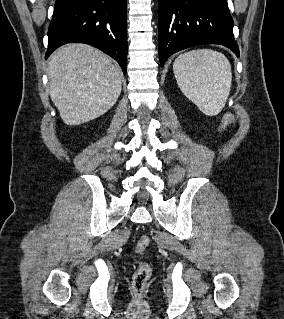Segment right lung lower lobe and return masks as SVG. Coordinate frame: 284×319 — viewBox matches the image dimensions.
<instances>
[{
    "instance_id": "obj_1",
    "label": "right lung lower lobe",
    "mask_w": 284,
    "mask_h": 319,
    "mask_svg": "<svg viewBox=\"0 0 284 319\" xmlns=\"http://www.w3.org/2000/svg\"><path fill=\"white\" fill-rule=\"evenodd\" d=\"M126 16V0H56L45 59L63 44L86 43L114 58L126 74Z\"/></svg>"
}]
</instances>
